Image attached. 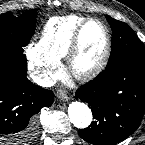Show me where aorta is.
Listing matches in <instances>:
<instances>
[{"mask_svg":"<svg viewBox=\"0 0 145 145\" xmlns=\"http://www.w3.org/2000/svg\"><path fill=\"white\" fill-rule=\"evenodd\" d=\"M68 116L71 123L80 129L87 128L92 122V112L82 102H72L68 107Z\"/></svg>","mask_w":145,"mask_h":145,"instance_id":"762f6f07","label":"aorta"}]
</instances>
